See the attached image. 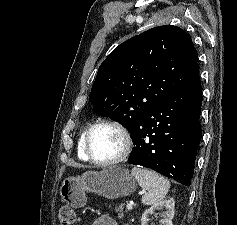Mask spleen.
Returning <instances> with one entry per match:
<instances>
[{
	"mask_svg": "<svg viewBox=\"0 0 237 225\" xmlns=\"http://www.w3.org/2000/svg\"><path fill=\"white\" fill-rule=\"evenodd\" d=\"M139 185L147 192L142 197L144 205H153L165 198L170 183L163 176L145 168L134 167L131 171Z\"/></svg>",
	"mask_w": 237,
	"mask_h": 225,
	"instance_id": "obj_1",
	"label": "spleen"
}]
</instances>
